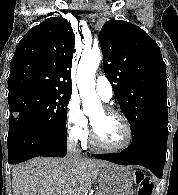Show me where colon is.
<instances>
[{
  "label": "colon",
  "instance_id": "5ec220e1",
  "mask_svg": "<svg viewBox=\"0 0 178 195\" xmlns=\"http://www.w3.org/2000/svg\"><path fill=\"white\" fill-rule=\"evenodd\" d=\"M136 181L138 184L137 195H152L153 185L147 176L142 172H137Z\"/></svg>",
  "mask_w": 178,
  "mask_h": 195
}]
</instances>
